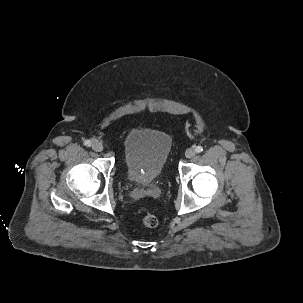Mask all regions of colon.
Segmentation results:
<instances>
[{"instance_id": "1", "label": "colon", "mask_w": 303, "mask_h": 303, "mask_svg": "<svg viewBox=\"0 0 303 303\" xmlns=\"http://www.w3.org/2000/svg\"><path fill=\"white\" fill-rule=\"evenodd\" d=\"M141 220L142 223L148 228H154L158 225L157 217L150 212H146L145 214H143Z\"/></svg>"}]
</instances>
